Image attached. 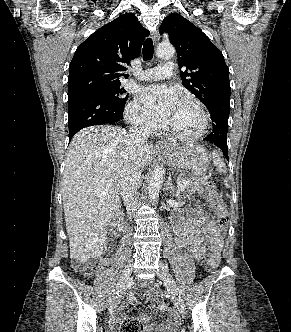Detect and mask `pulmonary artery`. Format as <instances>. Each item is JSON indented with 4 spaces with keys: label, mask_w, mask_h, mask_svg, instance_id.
I'll list each match as a JSON object with an SVG mask.
<instances>
[{
    "label": "pulmonary artery",
    "mask_w": 291,
    "mask_h": 332,
    "mask_svg": "<svg viewBox=\"0 0 291 332\" xmlns=\"http://www.w3.org/2000/svg\"><path fill=\"white\" fill-rule=\"evenodd\" d=\"M174 63L168 61L160 66L146 69L139 77L142 81H157L169 78L174 73Z\"/></svg>",
    "instance_id": "e3ab8cb5"
}]
</instances>
